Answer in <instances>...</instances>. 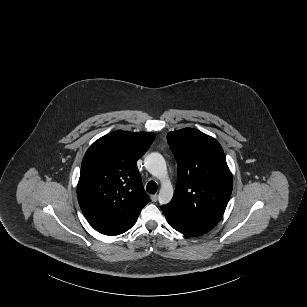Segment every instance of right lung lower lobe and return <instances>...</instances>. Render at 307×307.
Masks as SVG:
<instances>
[{
	"instance_id": "98d812e1",
	"label": "right lung lower lobe",
	"mask_w": 307,
	"mask_h": 307,
	"mask_svg": "<svg viewBox=\"0 0 307 307\" xmlns=\"http://www.w3.org/2000/svg\"><path fill=\"white\" fill-rule=\"evenodd\" d=\"M136 221H137V219L133 223H131L128 227H126L123 231L119 232L118 234L124 233L125 231L130 229L135 224ZM118 234H116V235H118Z\"/></svg>"
}]
</instances>
